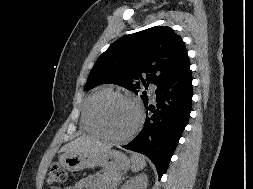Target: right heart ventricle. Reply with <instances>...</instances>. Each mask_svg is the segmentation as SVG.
<instances>
[{
  "mask_svg": "<svg viewBox=\"0 0 253 189\" xmlns=\"http://www.w3.org/2000/svg\"><path fill=\"white\" fill-rule=\"evenodd\" d=\"M110 92L108 88H100L96 90L92 95H90L87 100L84 102L82 107V115L81 121L83 128L92 135L102 136V133L96 126L93 116H92V108L95 101L103 94Z\"/></svg>",
  "mask_w": 253,
  "mask_h": 189,
  "instance_id": "right-heart-ventricle-1",
  "label": "right heart ventricle"
}]
</instances>
